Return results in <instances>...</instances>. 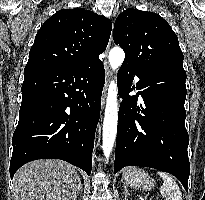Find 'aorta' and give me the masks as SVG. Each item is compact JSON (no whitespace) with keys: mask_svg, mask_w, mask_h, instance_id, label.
<instances>
[{"mask_svg":"<svg viewBox=\"0 0 205 200\" xmlns=\"http://www.w3.org/2000/svg\"><path fill=\"white\" fill-rule=\"evenodd\" d=\"M125 58V53L122 48L114 47L109 52V64L113 71L121 66ZM117 84L112 80L109 84L108 95L106 99V108L103 121V139L102 148L104 156L108 159L116 138L117 123H118V102H117Z\"/></svg>","mask_w":205,"mask_h":200,"instance_id":"obj_1","label":"aorta"}]
</instances>
